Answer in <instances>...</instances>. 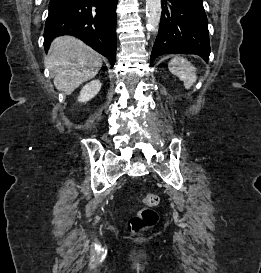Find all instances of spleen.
Masks as SVG:
<instances>
[{
  "instance_id": "1",
  "label": "spleen",
  "mask_w": 261,
  "mask_h": 273,
  "mask_svg": "<svg viewBox=\"0 0 261 273\" xmlns=\"http://www.w3.org/2000/svg\"><path fill=\"white\" fill-rule=\"evenodd\" d=\"M169 70L183 81L186 89H190L197 80L196 68L183 57L175 56L171 59Z\"/></svg>"
}]
</instances>
